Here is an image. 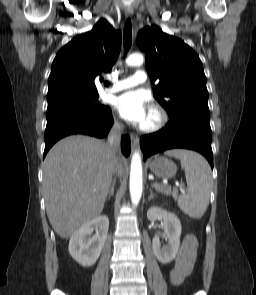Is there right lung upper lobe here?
Masks as SVG:
<instances>
[{"label": "right lung upper lobe", "instance_id": "cb5924a9", "mask_svg": "<svg viewBox=\"0 0 256 295\" xmlns=\"http://www.w3.org/2000/svg\"><path fill=\"white\" fill-rule=\"evenodd\" d=\"M120 47L121 32L104 19L91 31L74 37L52 63L47 100L69 93H98L95 78L111 71Z\"/></svg>", "mask_w": 256, "mask_h": 295}]
</instances>
